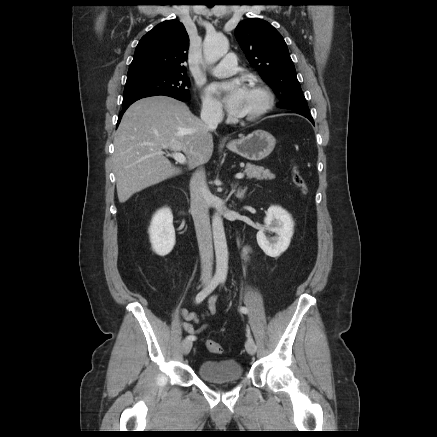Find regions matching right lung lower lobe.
<instances>
[{
    "label": "right lung lower lobe",
    "instance_id": "1",
    "mask_svg": "<svg viewBox=\"0 0 437 437\" xmlns=\"http://www.w3.org/2000/svg\"><path fill=\"white\" fill-rule=\"evenodd\" d=\"M176 99H177V98H176ZM178 100H181V101H183V102H186V101H188L189 99H188V100L178 99ZM130 105H131V104L123 105L122 111L120 112V115H119V118H118L117 125L120 123V120H121V117H122L123 113L126 111V109H127Z\"/></svg>",
    "mask_w": 437,
    "mask_h": 437
}]
</instances>
